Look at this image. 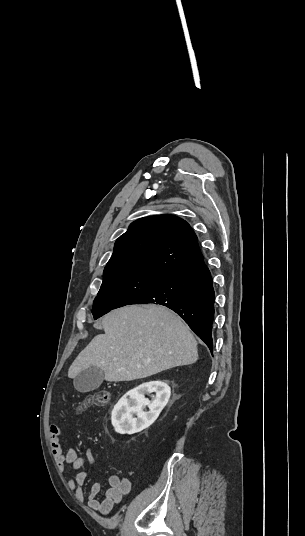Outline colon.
Listing matches in <instances>:
<instances>
[{"label":"colon","mask_w":305,"mask_h":536,"mask_svg":"<svg viewBox=\"0 0 305 536\" xmlns=\"http://www.w3.org/2000/svg\"><path fill=\"white\" fill-rule=\"evenodd\" d=\"M109 401V394L107 391H98L87 395L78 405L76 412L78 414L83 413L85 410L92 406H102Z\"/></svg>","instance_id":"colon-1"}]
</instances>
